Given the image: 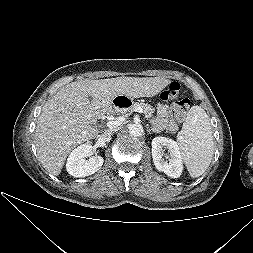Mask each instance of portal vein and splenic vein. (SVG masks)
<instances>
[{
  "mask_svg": "<svg viewBox=\"0 0 253 253\" xmlns=\"http://www.w3.org/2000/svg\"><path fill=\"white\" fill-rule=\"evenodd\" d=\"M136 112H139V113H142L143 112V109L141 107H138L135 109ZM125 120L124 117H117L115 118L114 120H111V121H108L107 122V127L109 129H113L115 127H118L119 125L122 124V122Z\"/></svg>",
  "mask_w": 253,
  "mask_h": 253,
  "instance_id": "18ae733b",
  "label": "portal vein and splenic vein"
}]
</instances>
